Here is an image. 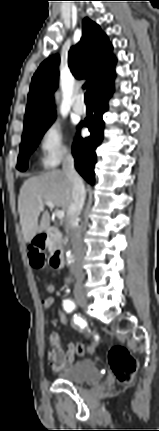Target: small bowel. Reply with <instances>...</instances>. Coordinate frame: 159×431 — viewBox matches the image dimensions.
<instances>
[{"label": "small bowel", "mask_w": 159, "mask_h": 431, "mask_svg": "<svg viewBox=\"0 0 159 431\" xmlns=\"http://www.w3.org/2000/svg\"><path fill=\"white\" fill-rule=\"evenodd\" d=\"M45 289L47 292L53 293L55 291V285L53 283H48L46 284ZM49 300L54 299L52 297H47L43 301V305L47 309L52 308H49L46 305ZM76 346L77 345L75 343H71L68 345L66 350H64L60 335L55 332L52 333L50 335V350L47 353V359L52 368L57 371L67 369L73 363L75 356L78 355ZM85 354H87V352Z\"/></svg>", "instance_id": "1"}]
</instances>
